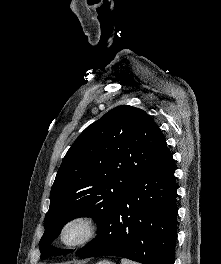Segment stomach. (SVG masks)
<instances>
[{
  "instance_id": "obj_1",
  "label": "stomach",
  "mask_w": 221,
  "mask_h": 264,
  "mask_svg": "<svg viewBox=\"0 0 221 264\" xmlns=\"http://www.w3.org/2000/svg\"><path fill=\"white\" fill-rule=\"evenodd\" d=\"M97 264H115V263L108 261V260H103V261L98 262Z\"/></svg>"
}]
</instances>
